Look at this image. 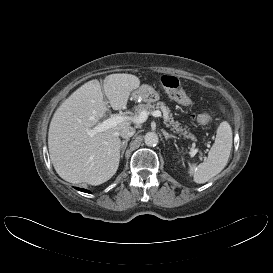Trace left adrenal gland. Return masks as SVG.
Masks as SVG:
<instances>
[{
	"instance_id": "left-adrenal-gland-1",
	"label": "left adrenal gland",
	"mask_w": 273,
	"mask_h": 273,
	"mask_svg": "<svg viewBox=\"0 0 273 273\" xmlns=\"http://www.w3.org/2000/svg\"><path fill=\"white\" fill-rule=\"evenodd\" d=\"M163 135H164V137H165L166 140H168L169 138L177 139L176 136H174L172 134H169L166 131H163Z\"/></svg>"
}]
</instances>
